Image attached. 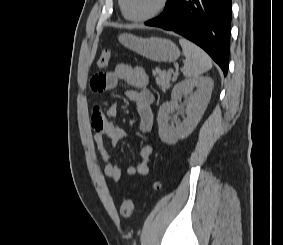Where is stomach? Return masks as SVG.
Masks as SVG:
<instances>
[{
  "instance_id": "stomach-1",
  "label": "stomach",
  "mask_w": 283,
  "mask_h": 245,
  "mask_svg": "<svg viewBox=\"0 0 283 245\" xmlns=\"http://www.w3.org/2000/svg\"><path fill=\"white\" fill-rule=\"evenodd\" d=\"M119 41L128 49L156 62H173L180 56L178 47L164 38H142L124 33L119 36Z\"/></svg>"
}]
</instances>
